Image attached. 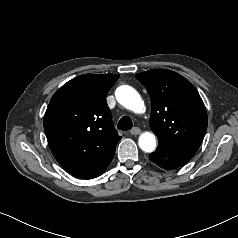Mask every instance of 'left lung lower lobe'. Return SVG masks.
I'll return each mask as SVG.
<instances>
[{
  "mask_svg": "<svg viewBox=\"0 0 238 238\" xmlns=\"http://www.w3.org/2000/svg\"><path fill=\"white\" fill-rule=\"evenodd\" d=\"M193 156L192 153L175 151L164 145H158L156 151L151 153L149 158L158 166L171 170L185 165Z\"/></svg>",
  "mask_w": 238,
  "mask_h": 238,
  "instance_id": "obj_1",
  "label": "left lung lower lobe"
}]
</instances>
